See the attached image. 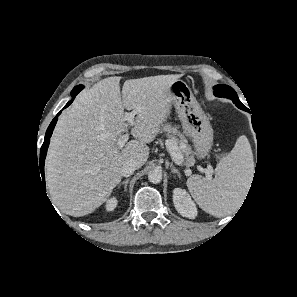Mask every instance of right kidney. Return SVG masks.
<instances>
[{
  "label": "right kidney",
  "instance_id": "ca27d5eb",
  "mask_svg": "<svg viewBox=\"0 0 297 297\" xmlns=\"http://www.w3.org/2000/svg\"><path fill=\"white\" fill-rule=\"evenodd\" d=\"M117 204H118L117 197H112L111 199H108L105 206L106 210L113 211L117 207Z\"/></svg>",
  "mask_w": 297,
  "mask_h": 297
}]
</instances>
